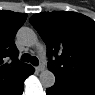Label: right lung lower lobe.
<instances>
[{
	"instance_id": "1",
	"label": "right lung lower lobe",
	"mask_w": 95,
	"mask_h": 95,
	"mask_svg": "<svg viewBox=\"0 0 95 95\" xmlns=\"http://www.w3.org/2000/svg\"><path fill=\"white\" fill-rule=\"evenodd\" d=\"M33 72H34V68L32 69V71H31V73H30L29 75L33 74ZM29 75H28V76H29ZM23 87H24V85H23V83H22V84L19 86V88H18L12 95H22Z\"/></svg>"
}]
</instances>
